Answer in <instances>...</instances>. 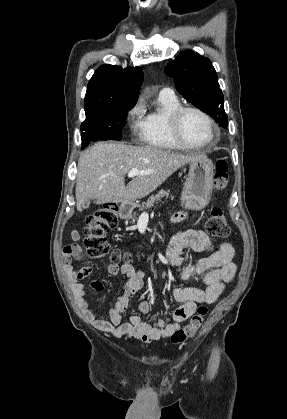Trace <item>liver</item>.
<instances>
[{"label":"liver","instance_id":"obj_1","mask_svg":"<svg viewBox=\"0 0 287 419\" xmlns=\"http://www.w3.org/2000/svg\"><path fill=\"white\" fill-rule=\"evenodd\" d=\"M206 158L204 154H180L153 146L98 142L81 153L76 180L77 210L86 200L95 204L131 203L156 190L182 166ZM131 169L150 171L125 185Z\"/></svg>","mask_w":287,"mask_h":419}]
</instances>
